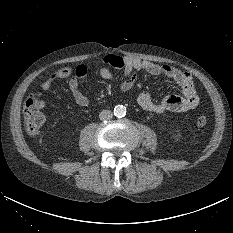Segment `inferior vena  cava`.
I'll use <instances>...</instances> for the list:
<instances>
[{
  "instance_id": "602c4592",
  "label": "inferior vena cava",
  "mask_w": 233,
  "mask_h": 233,
  "mask_svg": "<svg viewBox=\"0 0 233 233\" xmlns=\"http://www.w3.org/2000/svg\"><path fill=\"white\" fill-rule=\"evenodd\" d=\"M113 117V113L110 110H103L99 114L100 120H110Z\"/></svg>"
}]
</instances>
